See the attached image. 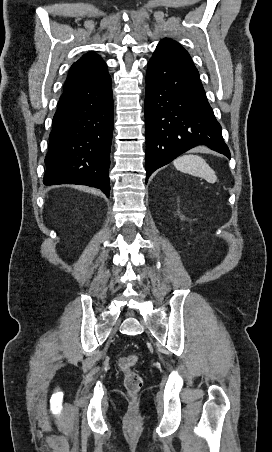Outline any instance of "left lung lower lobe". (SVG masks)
Returning a JSON list of instances; mask_svg holds the SVG:
<instances>
[{"label":"left lung lower lobe","mask_w":272,"mask_h":452,"mask_svg":"<svg viewBox=\"0 0 272 452\" xmlns=\"http://www.w3.org/2000/svg\"><path fill=\"white\" fill-rule=\"evenodd\" d=\"M146 181L158 168L197 146L230 151L189 55L159 43L148 62L145 96Z\"/></svg>","instance_id":"1"}]
</instances>
